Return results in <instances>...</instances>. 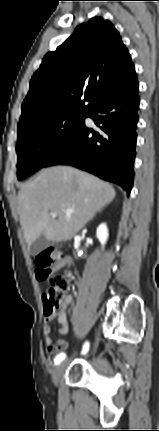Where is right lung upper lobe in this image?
Returning a JSON list of instances; mask_svg holds the SVG:
<instances>
[{
	"label": "right lung upper lobe",
	"mask_w": 159,
	"mask_h": 431,
	"mask_svg": "<svg viewBox=\"0 0 159 431\" xmlns=\"http://www.w3.org/2000/svg\"><path fill=\"white\" fill-rule=\"evenodd\" d=\"M134 78L131 56L118 31L108 20L92 18L44 56L30 81L18 130L58 113L88 112Z\"/></svg>",
	"instance_id": "obj_1"
}]
</instances>
